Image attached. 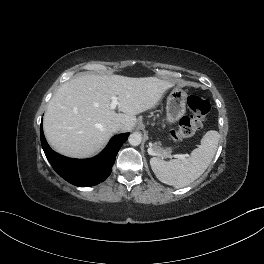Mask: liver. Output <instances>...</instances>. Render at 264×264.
I'll return each mask as SVG.
<instances>
[{"label":"liver","instance_id":"6515ba94","mask_svg":"<svg viewBox=\"0 0 264 264\" xmlns=\"http://www.w3.org/2000/svg\"><path fill=\"white\" fill-rule=\"evenodd\" d=\"M174 82L157 77L83 75L62 84L49 101L43 128L57 152L86 158L99 151L114 133L112 126L130 131L135 115L154 108ZM119 102L116 113L111 99Z\"/></svg>","mask_w":264,"mask_h":264}]
</instances>
